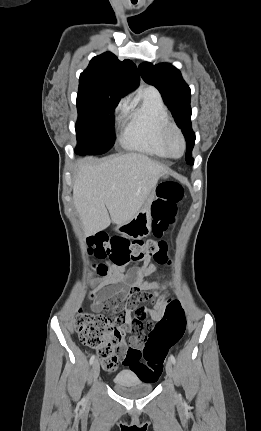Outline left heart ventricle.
<instances>
[{
  "label": "left heart ventricle",
  "instance_id": "obj_1",
  "mask_svg": "<svg viewBox=\"0 0 261 431\" xmlns=\"http://www.w3.org/2000/svg\"><path fill=\"white\" fill-rule=\"evenodd\" d=\"M170 149L174 155H179L181 153V142L175 134L170 137Z\"/></svg>",
  "mask_w": 261,
  "mask_h": 431
}]
</instances>
